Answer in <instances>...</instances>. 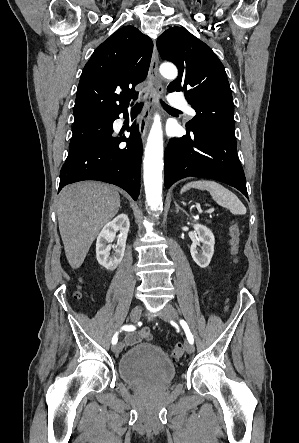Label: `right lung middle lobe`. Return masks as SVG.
<instances>
[{"label": "right lung middle lobe", "instance_id": "1", "mask_svg": "<svg viewBox=\"0 0 299 443\" xmlns=\"http://www.w3.org/2000/svg\"><path fill=\"white\" fill-rule=\"evenodd\" d=\"M108 130L109 121L105 116L74 123L70 152L76 150L93 138L105 135Z\"/></svg>", "mask_w": 299, "mask_h": 443}]
</instances>
